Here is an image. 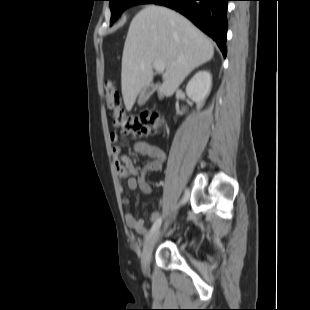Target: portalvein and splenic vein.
<instances>
[{
	"label": "portal vein and splenic vein",
	"instance_id": "1",
	"mask_svg": "<svg viewBox=\"0 0 310 310\" xmlns=\"http://www.w3.org/2000/svg\"><path fill=\"white\" fill-rule=\"evenodd\" d=\"M153 67L158 73H162L165 70V64L162 61L155 62Z\"/></svg>",
	"mask_w": 310,
	"mask_h": 310
}]
</instances>
